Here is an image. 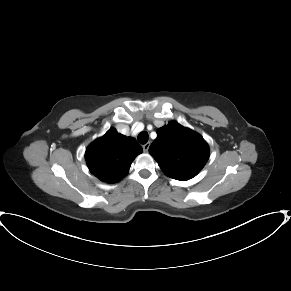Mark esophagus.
Returning <instances> with one entry per match:
<instances>
[{
    "mask_svg": "<svg viewBox=\"0 0 291 291\" xmlns=\"http://www.w3.org/2000/svg\"><path fill=\"white\" fill-rule=\"evenodd\" d=\"M149 147H150V143L148 142V143H146L145 145H143V150H144V152L145 153H147L148 152V150H149Z\"/></svg>",
    "mask_w": 291,
    "mask_h": 291,
    "instance_id": "1",
    "label": "esophagus"
}]
</instances>
